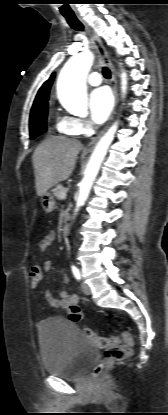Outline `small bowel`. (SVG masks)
I'll list each match as a JSON object with an SVG mask.
<instances>
[{"mask_svg":"<svg viewBox=\"0 0 168 415\" xmlns=\"http://www.w3.org/2000/svg\"><path fill=\"white\" fill-rule=\"evenodd\" d=\"M56 240V233L50 232L45 236V238L40 242V249L44 252L48 251L50 247ZM52 269V262L47 260L43 263L42 266V275L43 271L49 272ZM66 283H69L67 276H64ZM40 285V284H39ZM46 301L53 308L67 311L69 314V319L72 321H79L82 318V313L79 307V298L76 294L69 291H61L58 297H54L50 289H45L42 292Z\"/></svg>","mask_w":168,"mask_h":415,"instance_id":"small-bowel-1","label":"small bowel"}]
</instances>
